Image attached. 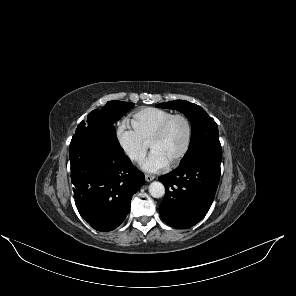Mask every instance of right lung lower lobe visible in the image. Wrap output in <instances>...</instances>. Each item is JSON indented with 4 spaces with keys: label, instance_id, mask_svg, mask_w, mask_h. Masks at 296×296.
<instances>
[{
    "label": "right lung lower lobe",
    "instance_id": "1",
    "mask_svg": "<svg viewBox=\"0 0 296 296\" xmlns=\"http://www.w3.org/2000/svg\"><path fill=\"white\" fill-rule=\"evenodd\" d=\"M71 181L80 215L97 231L117 228L145 177L116 137L93 127L77 128L70 143Z\"/></svg>",
    "mask_w": 296,
    "mask_h": 296
}]
</instances>
